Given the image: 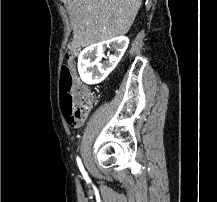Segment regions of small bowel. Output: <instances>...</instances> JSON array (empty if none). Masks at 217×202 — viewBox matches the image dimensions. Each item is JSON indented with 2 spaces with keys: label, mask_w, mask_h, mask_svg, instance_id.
I'll use <instances>...</instances> for the list:
<instances>
[{
  "label": "small bowel",
  "mask_w": 217,
  "mask_h": 202,
  "mask_svg": "<svg viewBox=\"0 0 217 202\" xmlns=\"http://www.w3.org/2000/svg\"><path fill=\"white\" fill-rule=\"evenodd\" d=\"M78 95H84V93L80 92V93H78ZM78 95H77V99H78ZM78 101H82V100H78ZM87 116H88V112H87V114L85 116H78L77 117V120L81 121L80 124H79V126H81L83 124V122L86 120Z\"/></svg>",
  "instance_id": "c3829d8e"
}]
</instances>
